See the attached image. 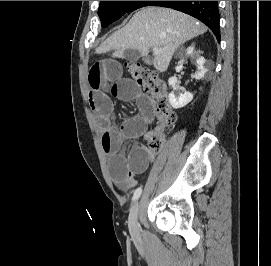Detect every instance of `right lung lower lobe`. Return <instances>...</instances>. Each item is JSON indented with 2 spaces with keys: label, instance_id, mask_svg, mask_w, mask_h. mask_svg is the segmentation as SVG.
<instances>
[{
  "label": "right lung lower lobe",
  "instance_id": "right-lung-lower-lobe-1",
  "mask_svg": "<svg viewBox=\"0 0 271 266\" xmlns=\"http://www.w3.org/2000/svg\"><path fill=\"white\" fill-rule=\"evenodd\" d=\"M150 5L169 7L199 19L220 41L218 1H153Z\"/></svg>",
  "mask_w": 271,
  "mask_h": 266
}]
</instances>
